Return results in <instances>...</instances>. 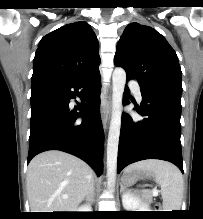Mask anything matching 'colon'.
<instances>
[{
  "label": "colon",
  "mask_w": 203,
  "mask_h": 219,
  "mask_svg": "<svg viewBox=\"0 0 203 219\" xmlns=\"http://www.w3.org/2000/svg\"><path fill=\"white\" fill-rule=\"evenodd\" d=\"M156 209H157V210H159V209H160V206H159V205H157V206H156Z\"/></svg>",
  "instance_id": "colon-1"
}]
</instances>
